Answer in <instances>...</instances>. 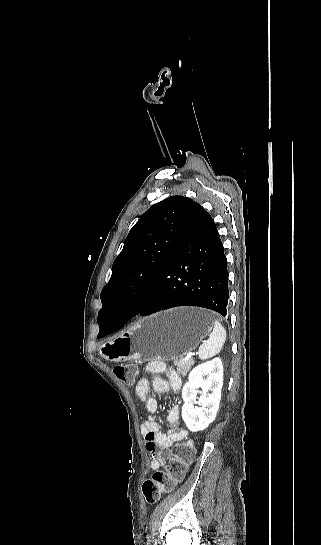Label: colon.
Masks as SVG:
<instances>
[{
  "label": "colon",
  "mask_w": 321,
  "mask_h": 545,
  "mask_svg": "<svg viewBox=\"0 0 321 545\" xmlns=\"http://www.w3.org/2000/svg\"><path fill=\"white\" fill-rule=\"evenodd\" d=\"M114 375L124 384L131 385L135 378V368L130 364H119L113 368ZM194 457L191 442H182L172 450L171 459L164 469L158 470L142 484V494L148 503L157 502L161 496L169 493L182 480L187 466Z\"/></svg>",
  "instance_id": "5ec220e1"
}]
</instances>
